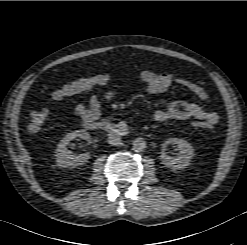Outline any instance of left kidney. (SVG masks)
<instances>
[{"mask_svg":"<svg viewBox=\"0 0 247 245\" xmlns=\"http://www.w3.org/2000/svg\"><path fill=\"white\" fill-rule=\"evenodd\" d=\"M170 144L177 145L179 148L180 151L177 157H171L165 152L166 147ZM193 155L194 148L189 142L184 139L168 138L163 143L160 159L167 168L179 170L184 169L189 165Z\"/></svg>","mask_w":247,"mask_h":245,"instance_id":"1","label":"left kidney"}]
</instances>
